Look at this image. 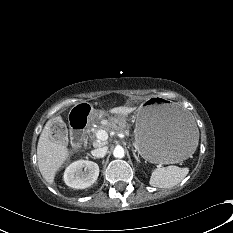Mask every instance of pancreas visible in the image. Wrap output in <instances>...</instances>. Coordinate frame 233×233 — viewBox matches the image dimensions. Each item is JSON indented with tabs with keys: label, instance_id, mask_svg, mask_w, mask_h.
Instances as JSON below:
<instances>
[{
	"label": "pancreas",
	"instance_id": "pancreas-1",
	"mask_svg": "<svg viewBox=\"0 0 233 233\" xmlns=\"http://www.w3.org/2000/svg\"><path fill=\"white\" fill-rule=\"evenodd\" d=\"M102 127H98V128H93L92 129V136H90L91 139L95 138L96 132L98 130H101ZM126 128V125H119L116 126L115 128H109L110 130H115L116 132H126L124 131V129Z\"/></svg>",
	"mask_w": 233,
	"mask_h": 233
}]
</instances>
